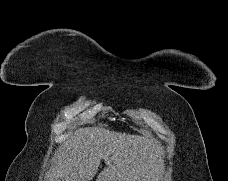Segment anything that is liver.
Segmentation results:
<instances>
[{"mask_svg":"<svg viewBox=\"0 0 228 181\" xmlns=\"http://www.w3.org/2000/svg\"><path fill=\"white\" fill-rule=\"evenodd\" d=\"M163 149L154 139L102 127L77 129L59 147L47 181H92L103 159L100 181H159Z\"/></svg>","mask_w":228,"mask_h":181,"instance_id":"liver-1","label":"liver"}]
</instances>
